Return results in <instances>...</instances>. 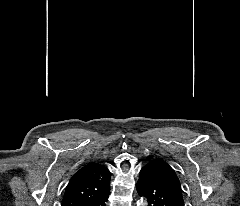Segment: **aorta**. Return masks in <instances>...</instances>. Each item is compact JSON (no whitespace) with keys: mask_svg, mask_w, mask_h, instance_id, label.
<instances>
[{"mask_svg":"<svg viewBox=\"0 0 240 206\" xmlns=\"http://www.w3.org/2000/svg\"><path fill=\"white\" fill-rule=\"evenodd\" d=\"M137 206H147V201L143 198L137 201Z\"/></svg>","mask_w":240,"mask_h":206,"instance_id":"762f6f07","label":"aorta"}]
</instances>
